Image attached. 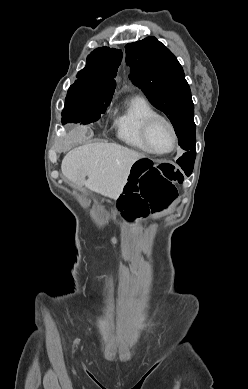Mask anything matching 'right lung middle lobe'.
<instances>
[{
    "label": "right lung middle lobe",
    "instance_id": "dd1d6c3e",
    "mask_svg": "<svg viewBox=\"0 0 248 389\" xmlns=\"http://www.w3.org/2000/svg\"><path fill=\"white\" fill-rule=\"evenodd\" d=\"M112 96L113 93L88 89L82 82L76 80L68 90L62 123L89 124L97 121L110 105Z\"/></svg>",
    "mask_w": 248,
    "mask_h": 389
}]
</instances>
